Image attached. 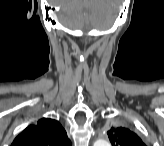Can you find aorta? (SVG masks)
Returning a JSON list of instances; mask_svg holds the SVG:
<instances>
[{
    "mask_svg": "<svg viewBox=\"0 0 164 146\" xmlns=\"http://www.w3.org/2000/svg\"><path fill=\"white\" fill-rule=\"evenodd\" d=\"M95 146H110V143L107 140L99 139L94 143Z\"/></svg>",
    "mask_w": 164,
    "mask_h": 146,
    "instance_id": "1",
    "label": "aorta"
}]
</instances>
